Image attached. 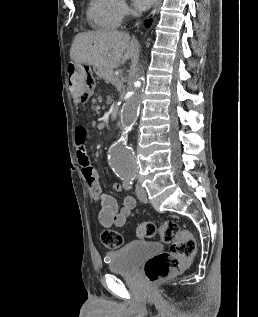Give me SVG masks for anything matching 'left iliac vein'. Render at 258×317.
<instances>
[{
  "mask_svg": "<svg viewBox=\"0 0 258 317\" xmlns=\"http://www.w3.org/2000/svg\"><path fill=\"white\" fill-rule=\"evenodd\" d=\"M135 188H136V194L137 196L140 198V202H146L147 198H146V190L144 188H142V185L140 183H137L135 185Z\"/></svg>",
  "mask_w": 258,
  "mask_h": 317,
  "instance_id": "left-iliac-vein-1",
  "label": "left iliac vein"
}]
</instances>
